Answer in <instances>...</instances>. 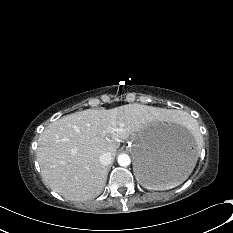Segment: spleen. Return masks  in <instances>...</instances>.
<instances>
[{"label": "spleen", "mask_w": 233, "mask_h": 233, "mask_svg": "<svg viewBox=\"0 0 233 233\" xmlns=\"http://www.w3.org/2000/svg\"><path fill=\"white\" fill-rule=\"evenodd\" d=\"M176 122L178 124H181V125H185L187 127L189 126H194V122L191 118L189 117H185V116H179L176 118ZM181 183V182H180ZM180 183H174V184H169V185H165V186H160V187H157L155 189H167V188H172V187H175L177 185H179Z\"/></svg>", "instance_id": "obj_1"}]
</instances>
